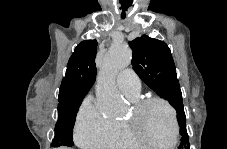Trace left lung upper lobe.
<instances>
[{
	"label": "left lung upper lobe",
	"mask_w": 227,
	"mask_h": 149,
	"mask_svg": "<svg viewBox=\"0 0 227 149\" xmlns=\"http://www.w3.org/2000/svg\"><path fill=\"white\" fill-rule=\"evenodd\" d=\"M129 46L133 50L132 65L138 76L177 111L181 127L179 148H189L182 93L169 47L163 41L147 35L130 41Z\"/></svg>",
	"instance_id": "1"
}]
</instances>
